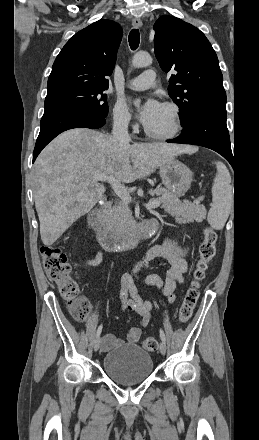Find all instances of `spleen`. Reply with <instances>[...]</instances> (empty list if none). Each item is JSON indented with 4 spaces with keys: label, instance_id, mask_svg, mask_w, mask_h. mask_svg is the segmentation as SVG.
Here are the masks:
<instances>
[{
    "label": "spleen",
    "instance_id": "1",
    "mask_svg": "<svg viewBox=\"0 0 259 440\" xmlns=\"http://www.w3.org/2000/svg\"><path fill=\"white\" fill-rule=\"evenodd\" d=\"M217 174L212 187V205L207 221L216 230L223 229L229 212L233 206L231 176L227 167L220 161L216 162Z\"/></svg>",
    "mask_w": 259,
    "mask_h": 440
}]
</instances>
